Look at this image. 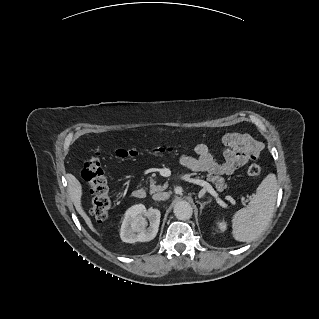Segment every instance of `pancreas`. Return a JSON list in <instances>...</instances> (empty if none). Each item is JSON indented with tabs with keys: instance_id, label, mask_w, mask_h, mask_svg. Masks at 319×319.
Returning <instances> with one entry per match:
<instances>
[{
	"instance_id": "pancreas-1",
	"label": "pancreas",
	"mask_w": 319,
	"mask_h": 319,
	"mask_svg": "<svg viewBox=\"0 0 319 319\" xmlns=\"http://www.w3.org/2000/svg\"><path fill=\"white\" fill-rule=\"evenodd\" d=\"M207 180L213 183L218 191H223L227 188V184L225 183V179L221 176H214L211 174L207 175ZM167 188V184L164 185H157L156 180L151 178L150 179V192L155 193L158 191L165 190Z\"/></svg>"
}]
</instances>
